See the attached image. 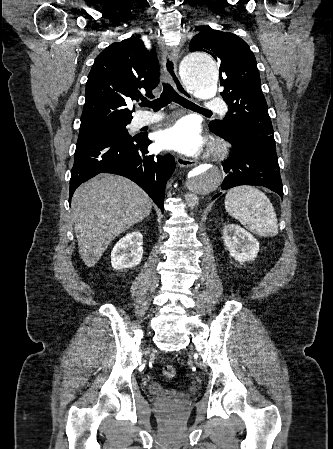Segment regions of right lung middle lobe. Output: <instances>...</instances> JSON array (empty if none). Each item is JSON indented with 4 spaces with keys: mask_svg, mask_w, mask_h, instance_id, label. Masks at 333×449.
Returning <instances> with one entry per match:
<instances>
[{
    "mask_svg": "<svg viewBox=\"0 0 333 449\" xmlns=\"http://www.w3.org/2000/svg\"><path fill=\"white\" fill-rule=\"evenodd\" d=\"M130 122H116L94 125L91 127L80 128L79 138L97 137L105 135L113 136H130L126 126ZM78 138V139H79Z\"/></svg>",
    "mask_w": 333,
    "mask_h": 449,
    "instance_id": "right-lung-middle-lobe-1",
    "label": "right lung middle lobe"
}]
</instances>
